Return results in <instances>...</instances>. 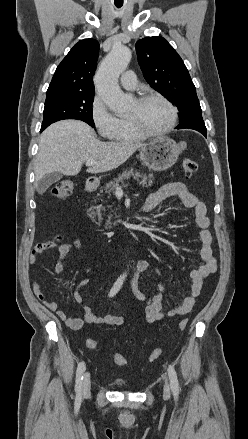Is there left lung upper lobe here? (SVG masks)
Here are the masks:
<instances>
[{"instance_id":"5c2ea615","label":"left lung upper lobe","mask_w":248,"mask_h":439,"mask_svg":"<svg viewBox=\"0 0 248 439\" xmlns=\"http://www.w3.org/2000/svg\"><path fill=\"white\" fill-rule=\"evenodd\" d=\"M139 65L146 81L179 110L178 129L206 130L195 86L181 57L161 36L136 43Z\"/></svg>"}]
</instances>
